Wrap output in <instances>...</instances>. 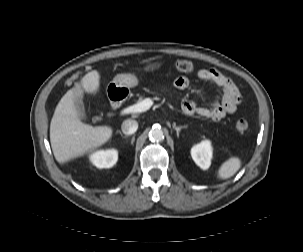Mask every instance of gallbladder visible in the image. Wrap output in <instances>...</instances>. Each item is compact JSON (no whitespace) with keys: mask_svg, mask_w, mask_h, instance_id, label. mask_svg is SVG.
Wrapping results in <instances>:
<instances>
[{"mask_svg":"<svg viewBox=\"0 0 303 252\" xmlns=\"http://www.w3.org/2000/svg\"><path fill=\"white\" fill-rule=\"evenodd\" d=\"M77 105V110L79 112V117L81 120H86V113H85V109H84V105L82 103L81 98H79L76 102Z\"/></svg>","mask_w":303,"mask_h":252,"instance_id":"obj_1","label":"gallbladder"}]
</instances>
